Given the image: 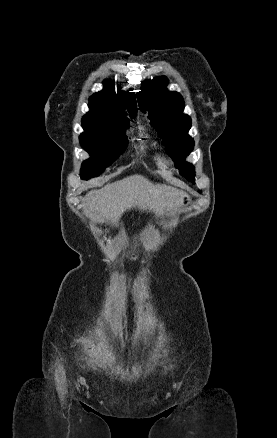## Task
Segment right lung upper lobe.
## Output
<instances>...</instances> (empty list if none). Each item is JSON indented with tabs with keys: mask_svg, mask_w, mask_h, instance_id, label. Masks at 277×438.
<instances>
[{
	"mask_svg": "<svg viewBox=\"0 0 277 438\" xmlns=\"http://www.w3.org/2000/svg\"><path fill=\"white\" fill-rule=\"evenodd\" d=\"M126 107L134 118L137 113L135 94L123 91L116 94L112 82L106 81L104 89L89 98L90 112L82 118V126L100 127L129 121Z\"/></svg>",
	"mask_w": 277,
	"mask_h": 438,
	"instance_id": "cb5924a9",
	"label": "right lung upper lobe"
}]
</instances>
